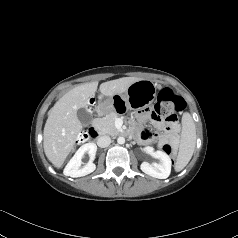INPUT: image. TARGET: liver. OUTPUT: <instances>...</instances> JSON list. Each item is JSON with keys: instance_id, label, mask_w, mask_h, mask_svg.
Wrapping results in <instances>:
<instances>
[{"instance_id": "1", "label": "liver", "mask_w": 238, "mask_h": 238, "mask_svg": "<svg viewBox=\"0 0 238 238\" xmlns=\"http://www.w3.org/2000/svg\"><path fill=\"white\" fill-rule=\"evenodd\" d=\"M136 77H123L104 82L99 90L104 96H114L127 91ZM98 82L79 85L63 95L49 110L43 132V147L48 160L57 168L61 167L72 150L82 124L77 111L88 106L89 99L95 95Z\"/></svg>"}]
</instances>
